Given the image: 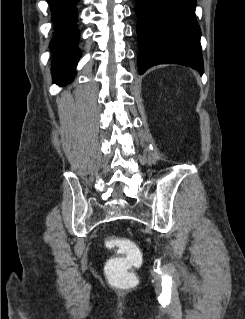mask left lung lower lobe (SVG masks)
Returning a JSON list of instances; mask_svg holds the SVG:
<instances>
[{
	"mask_svg": "<svg viewBox=\"0 0 245 319\" xmlns=\"http://www.w3.org/2000/svg\"><path fill=\"white\" fill-rule=\"evenodd\" d=\"M138 68L182 64L204 72L196 0H135Z\"/></svg>",
	"mask_w": 245,
	"mask_h": 319,
	"instance_id": "1",
	"label": "left lung lower lobe"
}]
</instances>
